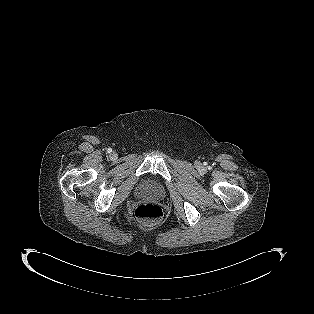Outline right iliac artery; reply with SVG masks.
<instances>
[{
	"label": "right iliac artery",
	"mask_w": 314,
	"mask_h": 314,
	"mask_svg": "<svg viewBox=\"0 0 314 314\" xmlns=\"http://www.w3.org/2000/svg\"><path fill=\"white\" fill-rule=\"evenodd\" d=\"M107 152H108V153L112 152V149H111V148H108V149H107Z\"/></svg>",
	"instance_id": "obj_1"
}]
</instances>
